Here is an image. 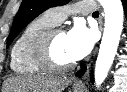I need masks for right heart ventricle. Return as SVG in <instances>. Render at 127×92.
<instances>
[{
    "label": "right heart ventricle",
    "instance_id": "obj_1",
    "mask_svg": "<svg viewBox=\"0 0 127 92\" xmlns=\"http://www.w3.org/2000/svg\"><path fill=\"white\" fill-rule=\"evenodd\" d=\"M56 25L47 14L33 19L26 25L11 49L10 67L14 73L34 75L45 71L35 59L34 45L43 31Z\"/></svg>",
    "mask_w": 127,
    "mask_h": 92
}]
</instances>
